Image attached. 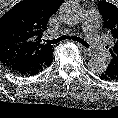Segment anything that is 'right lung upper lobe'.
I'll list each match as a JSON object with an SVG mask.
<instances>
[{
  "mask_svg": "<svg viewBox=\"0 0 118 118\" xmlns=\"http://www.w3.org/2000/svg\"><path fill=\"white\" fill-rule=\"evenodd\" d=\"M63 0H23L0 18V61L4 66L47 68L53 45L43 39Z\"/></svg>",
  "mask_w": 118,
  "mask_h": 118,
  "instance_id": "obj_1",
  "label": "right lung upper lobe"
}]
</instances>
